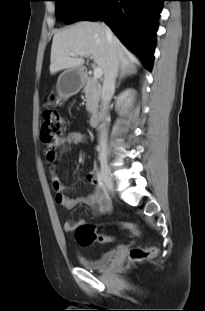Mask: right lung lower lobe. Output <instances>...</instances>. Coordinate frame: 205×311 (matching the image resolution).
Segmentation results:
<instances>
[{
  "label": "right lung lower lobe",
  "instance_id": "98d812e1",
  "mask_svg": "<svg viewBox=\"0 0 205 311\" xmlns=\"http://www.w3.org/2000/svg\"><path fill=\"white\" fill-rule=\"evenodd\" d=\"M164 0H103L84 20L105 21L151 71L158 14Z\"/></svg>",
  "mask_w": 205,
  "mask_h": 311
}]
</instances>
